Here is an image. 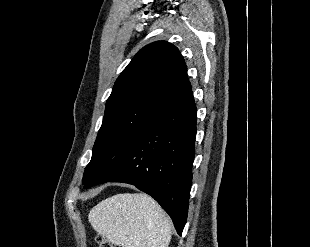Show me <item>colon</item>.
Returning <instances> with one entry per match:
<instances>
[{
  "instance_id": "colon-1",
  "label": "colon",
  "mask_w": 310,
  "mask_h": 247,
  "mask_svg": "<svg viewBox=\"0 0 310 247\" xmlns=\"http://www.w3.org/2000/svg\"><path fill=\"white\" fill-rule=\"evenodd\" d=\"M97 247H114L105 237L97 236L96 238Z\"/></svg>"
}]
</instances>
